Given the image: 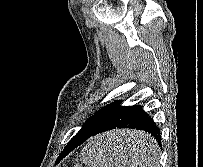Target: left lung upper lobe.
Here are the masks:
<instances>
[{
    "label": "left lung upper lobe",
    "mask_w": 203,
    "mask_h": 167,
    "mask_svg": "<svg viewBox=\"0 0 203 167\" xmlns=\"http://www.w3.org/2000/svg\"><path fill=\"white\" fill-rule=\"evenodd\" d=\"M117 103V101H114L97 111L94 116H92L85 122L81 130L74 137L81 134L87 135L88 133L93 132L98 127V125L109 115V113L113 110ZM65 156H62V153L60 155L61 158Z\"/></svg>",
    "instance_id": "1"
}]
</instances>
